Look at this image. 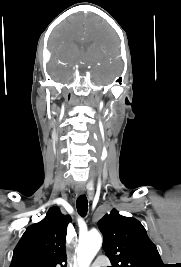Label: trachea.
<instances>
[{
    "label": "trachea",
    "instance_id": "trachea-1",
    "mask_svg": "<svg viewBox=\"0 0 181 267\" xmlns=\"http://www.w3.org/2000/svg\"><path fill=\"white\" fill-rule=\"evenodd\" d=\"M77 211L80 216L85 217L88 211V201L85 195H81L78 197L76 201Z\"/></svg>",
    "mask_w": 181,
    "mask_h": 267
}]
</instances>
